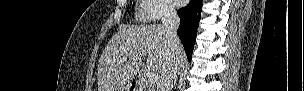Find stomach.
<instances>
[{
	"label": "stomach",
	"instance_id": "0dacf381",
	"mask_svg": "<svg viewBox=\"0 0 304 91\" xmlns=\"http://www.w3.org/2000/svg\"><path fill=\"white\" fill-rule=\"evenodd\" d=\"M121 91H129V87H123Z\"/></svg>",
	"mask_w": 304,
	"mask_h": 91
}]
</instances>
